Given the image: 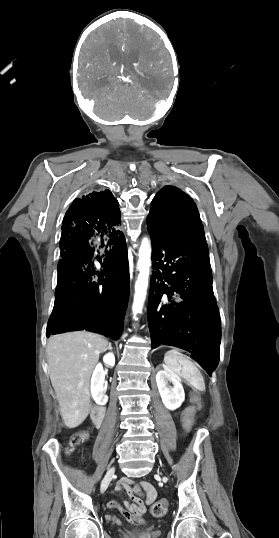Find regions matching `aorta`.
I'll return each mask as SVG.
<instances>
[{"label": "aorta", "mask_w": 279, "mask_h": 538, "mask_svg": "<svg viewBox=\"0 0 279 538\" xmlns=\"http://www.w3.org/2000/svg\"><path fill=\"white\" fill-rule=\"evenodd\" d=\"M150 258H151V246H150L149 240L147 238H144L139 248V259L137 262L139 275L135 282V294H134V300H133V305H132L134 319L136 320H137L136 315L142 311V308L146 299L149 271H150V266H151Z\"/></svg>", "instance_id": "762f6f07"}]
</instances>
